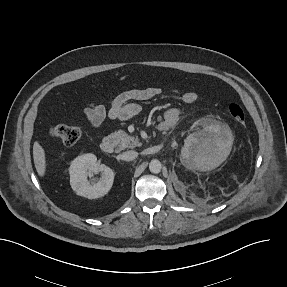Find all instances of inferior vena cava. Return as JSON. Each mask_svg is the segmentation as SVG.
Wrapping results in <instances>:
<instances>
[{
  "mask_svg": "<svg viewBox=\"0 0 287 287\" xmlns=\"http://www.w3.org/2000/svg\"><path fill=\"white\" fill-rule=\"evenodd\" d=\"M137 156H138V153L136 151L130 150V151L123 152L121 154V159L124 161H132L136 159Z\"/></svg>",
  "mask_w": 287,
  "mask_h": 287,
  "instance_id": "602c4592",
  "label": "inferior vena cava"
}]
</instances>
